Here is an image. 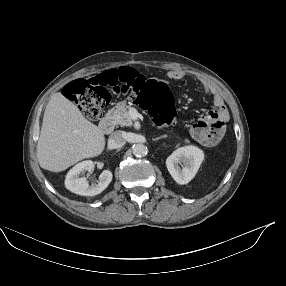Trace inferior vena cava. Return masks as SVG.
<instances>
[{"mask_svg": "<svg viewBox=\"0 0 286 286\" xmlns=\"http://www.w3.org/2000/svg\"><path fill=\"white\" fill-rule=\"evenodd\" d=\"M125 142L126 139L123 131H115L110 135L109 143L114 148L122 147Z\"/></svg>", "mask_w": 286, "mask_h": 286, "instance_id": "1", "label": "inferior vena cava"}]
</instances>
